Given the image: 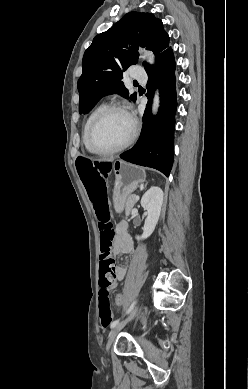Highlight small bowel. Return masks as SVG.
I'll use <instances>...</instances> for the list:
<instances>
[{"instance_id":"obj_1","label":"small bowel","mask_w":248,"mask_h":389,"mask_svg":"<svg viewBox=\"0 0 248 389\" xmlns=\"http://www.w3.org/2000/svg\"><path fill=\"white\" fill-rule=\"evenodd\" d=\"M113 253L115 255L134 253L133 241L128 232V225L125 221H122L117 225L116 236L113 241ZM126 273L127 269L123 266H119L116 272L117 281L123 280Z\"/></svg>"}]
</instances>
